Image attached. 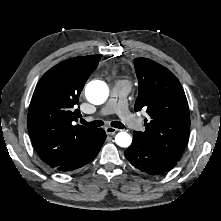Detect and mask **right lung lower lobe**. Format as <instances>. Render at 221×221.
Here are the masks:
<instances>
[{
  "instance_id": "98d812e1",
  "label": "right lung lower lobe",
  "mask_w": 221,
  "mask_h": 221,
  "mask_svg": "<svg viewBox=\"0 0 221 221\" xmlns=\"http://www.w3.org/2000/svg\"><path fill=\"white\" fill-rule=\"evenodd\" d=\"M105 139H106L105 131L102 128L97 129L94 140L86 151L80 153L74 158H71L62 165L56 167L55 170L60 172H69L79 169L84 165L90 163L97 156Z\"/></svg>"
}]
</instances>
